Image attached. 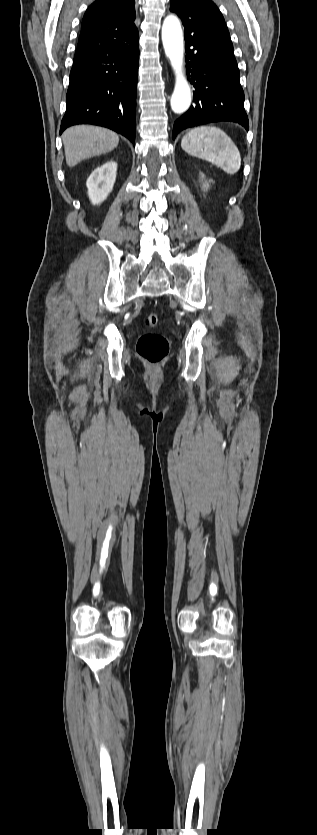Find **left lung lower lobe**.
Listing matches in <instances>:
<instances>
[{"mask_svg": "<svg viewBox=\"0 0 317 835\" xmlns=\"http://www.w3.org/2000/svg\"><path fill=\"white\" fill-rule=\"evenodd\" d=\"M186 69L193 84L194 106L175 121L173 139L184 129L219 121L249 128L244 92L226 24L209 18L184 27Z\"/></svg>", "mask_w": 317, "mask_h": 835, "instance_id": "left-lung-lower-lobe-1", "label": "left lung lower lobe"}]
</instances>
